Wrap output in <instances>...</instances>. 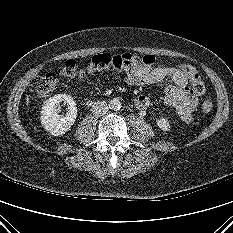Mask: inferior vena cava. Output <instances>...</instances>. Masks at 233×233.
Segmentation results:
<instances>
[{"mask_svg":"<svg viewBox=\"0 0 233 233\" xmlns=\"http://www.w3.org/2000/svg\"><path fill=\"white\" fill-rule=\"evenodd\" d=\"M109 108L105 102L97 101L92 105L91 111L98 116L104 115L108 112Z\"/></svg>","mask_w":233,"mask_h":233,"instance_id":"1","label":"inferior vena cava"}]
</instances>
